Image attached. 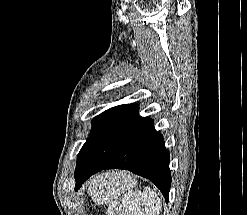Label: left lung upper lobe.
<instances>
[{"label":"left lung upper lobe","instance_id":"obj_1","mask_svg":"<svg viewBox=\"0 0 247 215\" xmlns=\"http://www.w3.org/2000/svg\"><path fill=\"white\" fill-rule=\"evenodd\" d=\"M131 106V104L119 105L110 108L96 116L92 121L93 127L90 137L87 141L98 138L103 132L109 129Z\"/></svg>","mask_w":247,"mask_h":215}]
</instances>
